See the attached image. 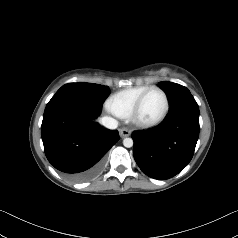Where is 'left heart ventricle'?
Wrapping results in <instances>:
<instances>
[{"instance_id": "left-heart-ventricle-1", "label": "left heart ventricle", "mask_w": 238, "mask_h": 238, "mask_svg": "<svg viewBox=\"0 0 238 238\" xmlns=\"http://www.w3.org/2000/svg\"><path fill=\"white\" fill-rule=\"evenodd\" d=\"M164 107L165 99L162 93L152 91L147 95L141 106L139 119L142 121H153L162 114Z\"/></svg>"}]
</instances>
